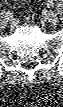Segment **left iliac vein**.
<instances>
[{
    "instance_id": "obj_1",
    "label": "left iliac vein",
    "mask_w": 63,
    "mask_h": 107,
    "mask_svg": "<svg viewBox=\"0 0 63 107\" xmlns=\"http://www.w3.org/2000/svg\"><path fill=\"white\" fill-rule=\"evenodd\" d=\"M47 20L50 24L55 25L58 22L57 14L54 11H48Z\"/></svg>"
}]
</instances>
